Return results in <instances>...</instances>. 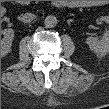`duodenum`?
<instances>
[{
  "instance_id": "duodenum-1",
  "label": "duodenum",
  "mask_w": 109,
  "mask_h": 109,
  "mask_svg": "<svg viewBox=\"0 0 109 109\" xmlns=\"http://www.w3.org/2000/svg\"><path fill=\"white\" fill-rule=\"evenodd\" d=\"M55 5H56L57 7H65V6L70 5V3H69V2H65V1H57V2L55 3Z\"/></svg>"
}]
</instances>
